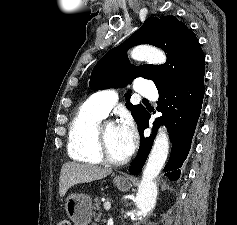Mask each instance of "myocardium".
I'll list each match as a JSON object with an SVG mask.
<instances>
[{
    "instance_id": "myocardium-1",
    "label": "myocardium",
    "mask_w": 237,
    "mask_h": 225,
    "mask_svg": "<svg viewBox=\"0 0 237 225\" xmlns=\"http://www.w3.org/2000/svg\"><path fill=\"white\" fill-rule=\"evenodd\" d=\"M108 124H113V123L100 122L96 128L95 137H96L97 150L103 162L109 165H113V166H120V165L125 164L128 159L124 158L122 160H116L110 156L107 146H106L105 135H104L105 127Z\"/></svg>"
}]
</instances>
